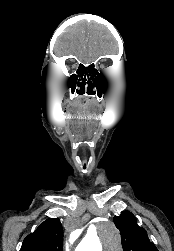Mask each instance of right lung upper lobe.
I'll return each mask as SVG.
<instances>
[{"label":"right lung upper lobe","mask_w":174,"mask_h":251,"mask_svg":"<svg viewBox=\"0 0 174 251\" xmlns=\"http://www.w3.org/2000/svg\"><path fill=\"white\" fill-rule=\"evenodd\" d=\"M63 230L60 219L49 218L29 234L20 251H62Z\"/></svg>","instance_id":"obj_1"}]
</instances>
